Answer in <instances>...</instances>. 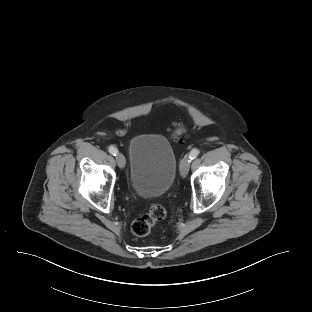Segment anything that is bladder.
<instances>
[{
	"mask_svg": "<svg viewBox=\"0 0 312 312\" xmlns=\"http://www.w3.org/2000/svg\"><path fill=\"white\" fill-rule=\"evenodd\" d=\"M129 182L142 198L164 195L172 186L177 169L174 150L166 137L142 134L129 145Z\"/></svg>",
	"mask_w": 312,
	"mask_h": 312,
	"instance_id": "31cf9c89",
	"label": "bladder"
}]
</instances>
